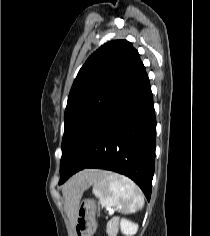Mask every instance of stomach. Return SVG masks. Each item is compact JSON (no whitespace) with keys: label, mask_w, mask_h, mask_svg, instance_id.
Listing matches in <instances>:
<instances>
[{"label":"stomach","mask_w":210,"mask_h":236,"mask_svg":"<svg viewBox=\"0 0 210 236\" xmlns=\"http://www.w3.org/2000/svg\"><path fill=\"white\" fill-rule=\"evenodd\" d=\"M97 206L95 201L83 200L78 208L75 222V236H92L97 228Z\"/></svg>","instance_id":"obj_1"}]
</instances>
